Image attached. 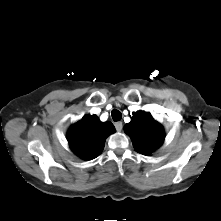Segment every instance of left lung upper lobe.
<instances>
[{"label": "left lung upper lobe", "instance_id": "1", "mask_svg": "<svg viewBox=\"0 0 221 221\" xmlns=\"http://www.w3.org/2000/svg\"><path fill=\"white\" fill-rule=\"evenodd\" d=\"M124 130L131 137L135 150L143 155L159 148L165 137L162 126L144 111L133 113L131 122L124 126Z\"/></svg>", "mask_w": 221, "mask_h": 221}]
</instances>
